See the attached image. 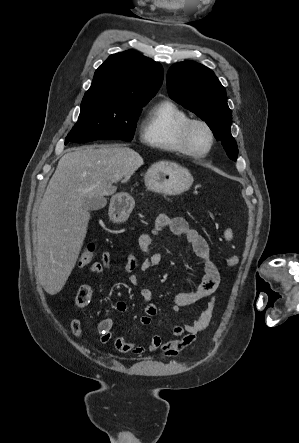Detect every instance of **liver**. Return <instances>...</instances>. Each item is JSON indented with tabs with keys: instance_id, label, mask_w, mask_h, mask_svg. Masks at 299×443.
I'll return each instance as SVG.
<instances>
[{
	"instance_id": "6515ba94",
	"label": "liver",
	"mask_w": 299,
	"mask_h": 443,
	"mask_svg": "<svg viewBox=\"0 0 299 443\" xmlns=\"http://www.w3.org/2000/svg\"><path fill=\"white\" fill-rule=\"evenodd\" d=\"M143 163L139 153L120 145L81 147L59 160L37 217L36 272L48 294L62 290L81 251L90 219L84 197L112 194V184L130 178Z\"/></svg>"
}]
</instances>
